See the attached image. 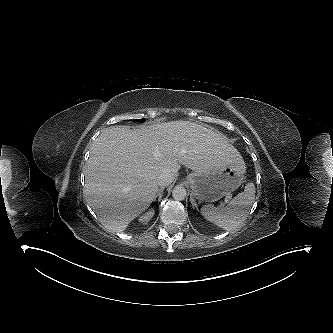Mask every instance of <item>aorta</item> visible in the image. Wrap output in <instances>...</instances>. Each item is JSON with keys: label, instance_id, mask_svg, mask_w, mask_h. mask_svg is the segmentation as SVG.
<instances>
[{"label": "aorta", "instance_id": "aorta-1", "mask_svg": "<svg viewBox=\"0 0 333 333\" xmlns=\"http://www.w3.org/2000/svg\"><path fill=\"white\" fill-rule=\"evenodd\" d=\"M187 191L183 186H175L172 191V197L177 201H182L185 199Z\"/></svg>", "mask_w": 333, "mask_h": 333}]
</instances>
